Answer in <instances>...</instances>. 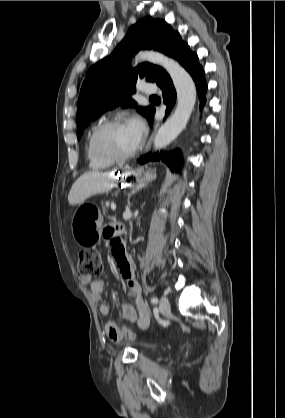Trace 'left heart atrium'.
<instances>
[{"label":"left heart atrium","instance_id":"left-heart-atrium-1","mask_svg":"<svg viewBox=\"0 0 285 418\" xmlns=\"http://www.w3.org/2000/svg\"><path fill=\"white\" fill-rule=\"evenodd\" d=\"M126 127L131 132L135 143H138L145 130V124L139 116H132L128 119Z\"/></svg>","mask_w":285,"mask_h":418}]
</instances>
